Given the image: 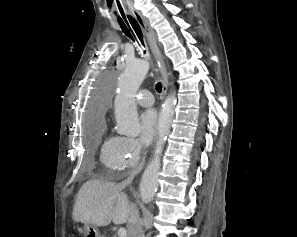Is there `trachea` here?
Wrapping results in <instances>:
<instances>
[{
	"mask_svg": "<svg viewBox=\"0 0 297 237\" xmlns=\"http://www.w3.org/2000/svg\"><path fill=\"white\" fill-rule=\"evenodd\" d=\"M118 22L125 35H127L133 41L136 40L138 42L139 40L141 44L144 45L142 31L136 19H134L133 17H130L128 19L120 20ZM143 52L144 54L146 53L145 50ZM155 88L158 93H161L162 91L161 82H158Z\"/></svg>",
	"mask_w": 297,
	"mask_h": 237,
	"instance_id": "obj_1",
	"label": "trachea"
}]
</instances>
